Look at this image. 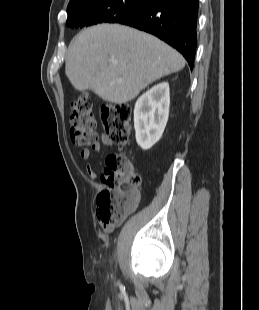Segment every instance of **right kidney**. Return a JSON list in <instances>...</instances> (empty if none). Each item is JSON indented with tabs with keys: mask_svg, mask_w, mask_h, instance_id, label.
Masks as SVG:
<instances>
[{
	"mask_svg": "<svg viewBox=\"0 0 259 310\" xmlns=\"http://www.w3.org/2000/svg\"><path fill=\"white\" fill-rule=\"evenodd\" d=\"M170 106L169 84L162 82L142 96L134 108V128L137 144L143 149H150L157 143L166 127Z\"/></svg>",
	"mask_w": 259,
	"mask_h": 310,
	"instance_id": "ca27d5eb",
	"label": "right kidney"
}]
</instances>
